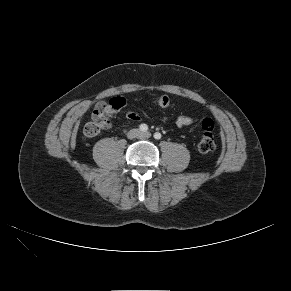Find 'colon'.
<instances>
[{
    "label": "colon",
    "mask_w": 291,
    "mask_h": 291,
    "mask_svg": "<svg viewBox=\"0 0 291 291\" xmlns=\"http://www.w3.org/2000/svg\"><path fill=\"white\" fill-rule=\"evenodd\" d=\"M156 102L160 108H167L170 105V99L165 95L160 96ZM127 103L128 97L126 95L110 100V102L104 106L103 109L93 114L92 120L84 126V135L87 137H95L102 131L108 129L110 126V117L114 113L120 111L122 106H125ZM201 127L202 135L198 144V149L204 154L212 153L217 147L213 134L214 122L212 119L205 117L202 120Z\"/></svg>",
    "instance_id": "obj_1"
}]
</instances>
